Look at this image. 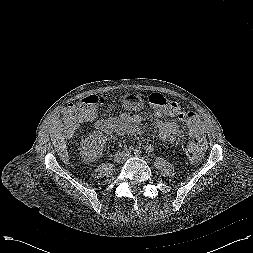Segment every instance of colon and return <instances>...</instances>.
Wrapping results in <instances>:
<instances>
[{"mask_svg": "<svg viewBox=\"0 0 253 253\" xmlns=\"http://www.w3.org/2000/svg\"><path fill=\"white\" fill-rule=\"evenodd\" d=\"M102 103V97L89 95L68 105L61 117L62 130L68 135L75 132L81 123L92 120L96 116L97 109ZM149 103L159 114L179 116L186 123L192 136L186 147V153L191 161H198L207 148L205 130L200 117L194 112L181 111L175 102L159 93L151 94Z\"/></svg>", "mask_w": 253, "mask_h": 253, "instance_id": "colon-1", "label": "colon"}]
</instances>
